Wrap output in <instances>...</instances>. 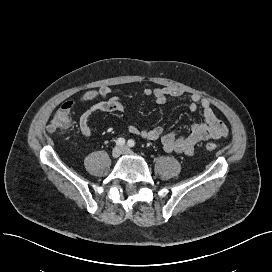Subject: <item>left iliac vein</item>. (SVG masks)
Wrapping results in <instances>:
<instances>
[{
  "mask_svg": "<svg viewBox=\"0 0 272 272\" xmlns=\"http://www.w3.org/2000/svg\"><path fill=\"white\" fill-rule=\"evenodd\" d=\"M123 154H132V151L128 147H122Z\"/></svg>",
  "mask_w": 272,
  "mask_h": 272,
  "instance_id": "obj_1",
  "label": "left iliac vein"
}]
</instances>
